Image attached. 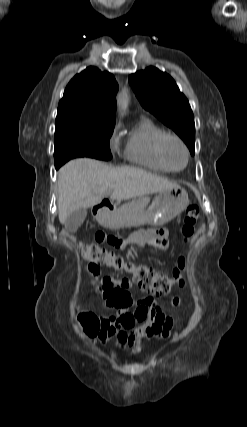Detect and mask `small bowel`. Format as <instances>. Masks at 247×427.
I'll return each instance as SVG.
<instances>
[{"label":"small bowel","mask_w":247,"mask_h":427,"mask_svg":"<svg viewBox=\"0 0 247 427\" xmlns=\"http://www.w3.org/2000/svg\"><path fill=\"white\" fill-rule=\"evenodd\" d=\"M96 244L107 245L112 250L124 249L126 240L115 236L112 232L97 229ZM130 241L136 245L151 243L159 250L165 251L169 246V234L166 229L141 230L131 235ZM88 271L93 282L97 284V292L107 307L114 312L102 319L104 336L116 335L121 346L138 347L143 338H167L173 326L170 316L163 313L151 298L134 299L130 293L132 281L126 278L114 279L106 277L99 280L100 268L89 264ZM179 299L174 298L172 304L177 306Z\"/></svg>","instance_id":"obj_1"}]
</instances>
